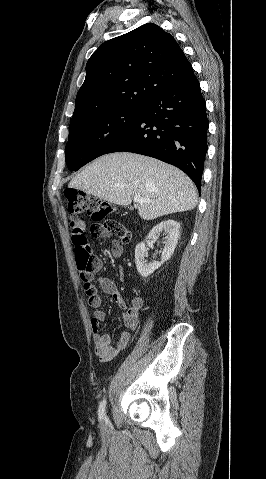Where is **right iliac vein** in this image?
Returning <instances> with one entry per match:
<instances>
[{
    "label": "right iliac vein",
    "instance_id": "1",
    "mask_svg": "<svg viewBox=\"0 0 266 479\" xmlns=\"http://www.w3.org/2000/svg\"><path fill=\"white\" fill-rule=\"evenodd\" d=\"M102 428L105 429V425H104V424L102 425Z\"/></svg>",
    "mask_w": 266,
    "mask_h": 479
}]
</instances>
